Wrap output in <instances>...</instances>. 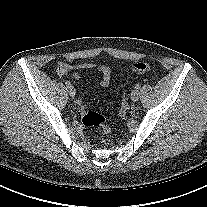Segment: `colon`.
Segmentation results:
<instances>
[{
  "instance_id": "obj_1",
  "label": "colon",
  "mask_w": 207,
  "mask_h": 207,
  "mask_svg": "<svg viewBox=\"0 0 207 207\" xmlns=\"http://www.w3.org/2000/svg\"><path fill=\"white\" fill-rule=\"evenodd\" d=\"M151 71L150 64L146 62H137L130 67L126 72L127 73H136V74H144ZM78 107L81 111V121L82 124L86 127H100L103 129L105 133H110L111 128L106 124L105 117L97 112L92 110H85V105L81 99L78 100ZM128 111V101L127 98L124 97L122 102V108L119 112V116L121 118L125 117Z\"/></svg>"
}]
</instances>
